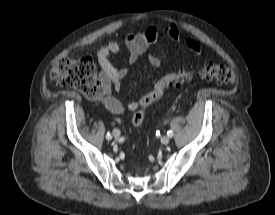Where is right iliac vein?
<instances>
[{
    "label": "right iliac vein",
    "instance_id": "1",
    "mask_svg": "<svg viewBox=\"0 0 275 215\" xmlns=\"http://www.w3.org/2000/svg\"><path fill=\"white\" fill-rule=\"evenodd\" d=\"M120 135H121V132H120L118 129H114V130H113V136H114L115 138H119Z\"/></svg>",
    "mask_w": 275,
    "mask_h": 215
}]
</instances>
